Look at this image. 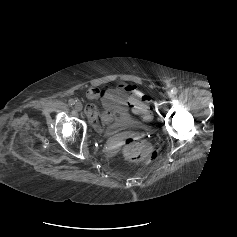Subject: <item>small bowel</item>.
<instances>
[{"instance_id": "c3829d8e", "label": "small bowel", "mask_w": 237, "mask_h": 237, "mask_svg": "<svg viewBox=\"0 0 237 237\" xmlns=\"http://www.w3.org/2000/svg\"><path fill=\"white\" fill-rule=\"evenodd\" d=\"M86 95L89 99L99 101L104 109L100 115L94 105L89 104L86 107V115L98 132L129 121L130 111L144 118L149 117L148 97L135 85L120 84L103 89L92 87L87 90Z\"/></svg>"}]
</instances>
